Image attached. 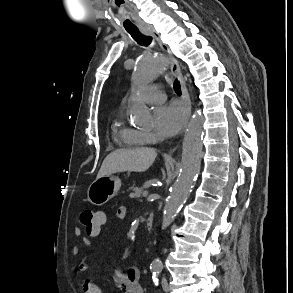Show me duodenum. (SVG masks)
Returning a JSON list of instances; mask_svg holds the SVG:
<instances>
[{"mask_svg": "<svg viewBox=\"0 0 293 293\" xmlns=\"http://www.w3.org/2000/svg\"><path fill=\"white\" fill-rule=\"evenodd\" d=\"M146 227L149 231H151L154 227V213L150 212L146 219Z\"/></svg>", "mask_w": 293, "mask_h": 293, "instance_id": "410a0bca", "label": "duodenum"}]
</instances>
